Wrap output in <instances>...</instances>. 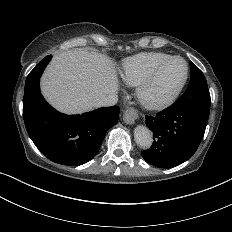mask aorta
I'll return each instance as SVG.
<instances>
[{
	"mask_svg": "<svg viewBox=\"0 0 232 232\" xmlns=\"http://www.w3.org/2000/svg\"><path fill=\"white\" fill-rule=\"evenodd\" d=\"M135 142L143 149H148L153 143L152 132L143 125H139L134 130Z\"/></svg>",
	"mask_w": 232,
	"mask_h": 232,
	"instance_id": "obj_1",
	"label": "aorta"
}]
</instances>
